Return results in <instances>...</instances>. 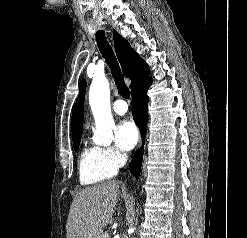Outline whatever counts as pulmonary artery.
I'll return each mask as SVG.
<instances>
[{
  "mask_svg": "<svg viewBox=\"0 0 247 238\" xmlns=\"http://www.w3.org/2000/svg\"><path fill=\"white\" fill-rule=\"evenodd\" d=\"M112 109L115 113L123 115L128 111V105L124 100H116L113 103Z\"/></svg>",
  "mask_w": 247,
  "mask_h": 238,
  "instance_id": "1",
  "label": "pulmonary artery"
}]
</instances>
